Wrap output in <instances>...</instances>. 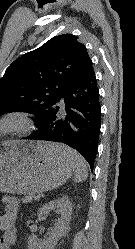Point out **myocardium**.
Listing matches in <instances>:
<instances>
[{"mask_svg":"<svg viewBox=\"0 0 135 249\" xmlns=\"http://www.w3.org/2000/svg\"><path fill=\"white\" fill-rule=\"evenodd\" d=\"M33 129V119L26 112L11 111L0 115V138L25 135Z\"/></svg>","mask_w":135,"mask_h":249,"instance_id":"1","label":"myocardium"}]
</instances>
